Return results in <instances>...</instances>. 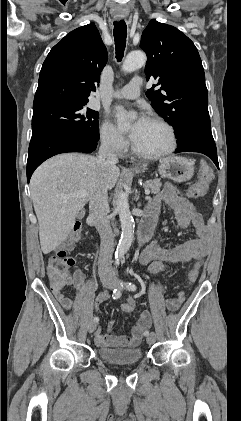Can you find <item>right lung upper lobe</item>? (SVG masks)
<instances>
[{
    "label": "right lung upper lobe",
    "instance_id": "cb5924a9",
    "mask_svg": "<svg viewBox=\"0 0 241 421\" xmlns=\"http://www.w3.org/2000/svg\"><path fill=\"white\" fill-rule=\"evenodd\" d=\"M106 62L107 50L94 23L73 30L45 59L33 108L56 102L87 103Z\"/></svg>",
    "mask_w": 241,
    "mask_h": 421
}]
</instances>
